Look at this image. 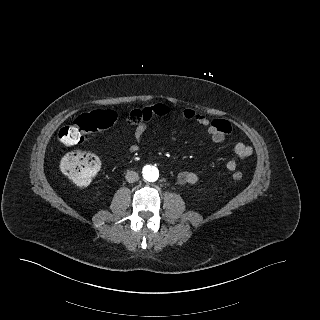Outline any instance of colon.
<instances>
[{"mask_svg":"<svg viewBox=\"0 0 320 320\" xmlns=\"http://www.w3.org/2000/svg\"><path fill=\"white\" fill-rule=\"evenodd\" d=\"M118 115L109 109H98L77 117L73 123L62 127L58 137L64 144H77L86 132L106 129L115 124ZM100 163L96 154L89 151H75L64 156L61 168L64 174L79 187L89 186L99 171ZM242 173L235 172L233 179H242Z\"/></svg>","mask_w":320,"mask_h":320,"instance_id":"colon-1","label":"colon"}]
</instances>
